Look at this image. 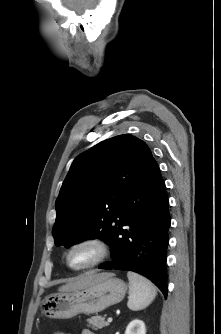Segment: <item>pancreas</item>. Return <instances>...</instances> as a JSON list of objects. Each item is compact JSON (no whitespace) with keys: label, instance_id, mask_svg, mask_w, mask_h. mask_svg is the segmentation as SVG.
<instances>
[{"label":"pancreas","instance_id":"cf45deb5","mask_svg":"<svg viewBox=\"0 0 221 334\" xmlns=\"http://www.w3.org/2000/svg\"><path fill=\"white\" fill-rule=\"evenodd\" d=\"M87 322L89 324V327L91 326L92 329H102L103 327H106L109 325L108 322L105 321V317L96 315L89 319H87Z\"/></svg>","mask_w":221,"mask_h":334}]
</instances>
